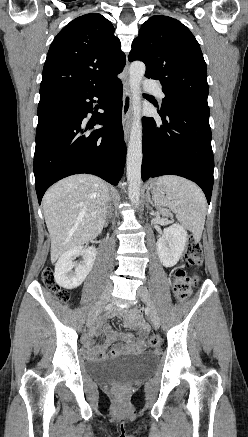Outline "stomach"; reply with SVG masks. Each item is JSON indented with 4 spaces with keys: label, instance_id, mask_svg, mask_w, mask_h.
Listing matches in <instances>:
<instances>
[{
    "label": "stomach",
    "instance_id": "0dacf381",
    "mask_svg": "<svg viewBox=\"0 0 248 437\" xmlns=\"http://www.w3.org/2000/svg\"><path fill=\"white\" fill-rule=\"evenodd\" d=\"M148 191H151V193L153 195V198H155L157 195H160V196L165 195L164 194L165 193V189L162 186H159L157 184V182H155V181L150 182V184L148 186ZM156 203L157 204H161V203H158V202H156ZM161 205H164V204H161Z\"/></svg>",
    "mask_w": 248,
    "mask_h": 437
}]
</instances>
